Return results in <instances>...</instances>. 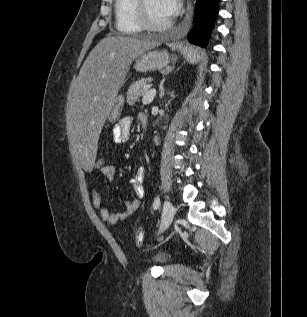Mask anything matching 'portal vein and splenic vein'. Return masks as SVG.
I'll return each instance as SVG.
<instances>
[{
	"instance_id": "1",
	"label": "portal vein and splenic vein",
	"mask_w": 307,
	"mask_h": 317,
	"mask_svg": "<svg viewBox=\"0 0 307 317\" xmlns=\"http://www.w3.org/2000/svg\"><path fill=\"white\" fill-rule=\"evenodd\" d=\"M150 87V86H149ZM156 95V90L155 89H149L145 92V94L143 95V98H142V103L144 105H147L149 103H151L154 99Z\"/></svg>"
}]
</instances>
